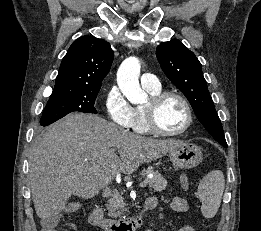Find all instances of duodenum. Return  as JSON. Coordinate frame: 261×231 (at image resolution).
I'll return each mask as SVG.
<instances>
[{
	"label": "duodenum",
	"instance_id": "410a0bca",
	"mask_svg": "<svg viewBox=\"0 0 261 231\" xmlns=\"http://www.w3.org/2000/svg\"><path fill=\"white\" fill-rule=\"evenodd\" d=\"M152 208L153 205L151 203L145 202L141 211L135 216L120 221H113L103 216L101 207H96L91 212L90 223L99 226L105 231H134L142 221L144 215Z\"/></svg>",
	"mask_w": 261,
	"mask_h": 231
}]
</instances>
